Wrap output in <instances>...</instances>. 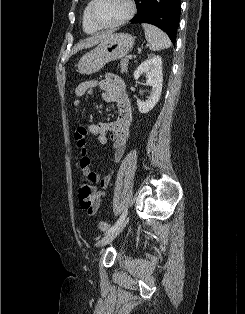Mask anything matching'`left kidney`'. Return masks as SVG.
Returning <instances> with one entry per match:
<instances>
[{
  "label": "left kidney",
  "instance_id": "left-kidney-1",
  "mask_svg": "<svg viewBox=\"0 0 245 314\" xmlns=\"http://www.w3.org/2000/svg\"><path fill=\"white\" fill-rule=\"evenodd\" d=\"M144 73L148 78L146 83L152 87V90L148 100H137L138 110L142 114L152 110L160 99L163 83L162 58L160 56H152L142 62L134 72V79L137 80Z\"/></svg>",
  "mask_w": 245,
  "mask_h": 314
}]
</instances>
